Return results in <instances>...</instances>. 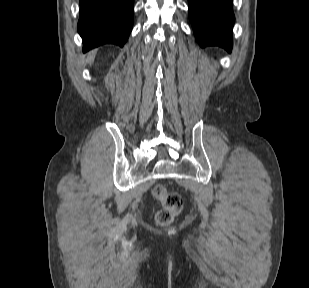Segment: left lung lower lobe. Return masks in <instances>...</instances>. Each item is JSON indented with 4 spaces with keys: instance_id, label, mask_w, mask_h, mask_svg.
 <instances>
[{
    "instance_id": "0a47b994",
    "label": "left lung lower lobe",
    "mask_w": 309,
    "mask_h": 288,
    "mask_svg": "<svg viewBox=\"0 0 309 288\" xmlns=\"http://www.w3.org/2000/svg\"><path fill=\"white\" fill-rule=\"evenodd\" d=\"M189 18L201 47L220 46L231 52L232 0H188Z\"/></svg>"
}]
</instances>
